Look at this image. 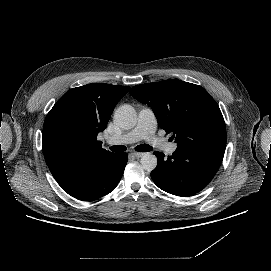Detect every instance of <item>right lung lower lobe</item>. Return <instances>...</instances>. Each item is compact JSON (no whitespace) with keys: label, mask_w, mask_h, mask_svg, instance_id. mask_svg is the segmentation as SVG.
<instances>
[{"label":"right lung lower lobe","mask_w":271,"mask_h":271,"mask_svg":"<svg viewBox=\"0 0 271 271\" xmlns=\"http://www.w3.org/2000/svg\"><path fill=\"white\" fill-rule=\"evenodd\" d=\"M127 160V153L87 157L54 178L66 193L76 199H98L118 185Z\"/></svg>","instance_id":"right-lung-lower-lobe-1"}]
</instances>
